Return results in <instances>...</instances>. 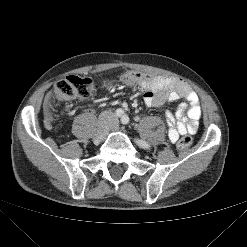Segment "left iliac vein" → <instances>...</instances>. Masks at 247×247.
I'll return each instance as SVG.
<instances>
[{"label":"left iliac vein","instance_id":"obj_1","mask_svg":"<svg viewBox=\"0 0 247 247\" xmlns=\"http://www.w3.org/2000/svg\"><path fill=\"white\" fill-rule=\"evenodd\" d=\"M118 128V123L117 122H114L113 126H112V129L113 130H116ZM136 143H138V141L136 140Z\"/></svg>","mask_w":247,"mask_h":247}]
</instances>
